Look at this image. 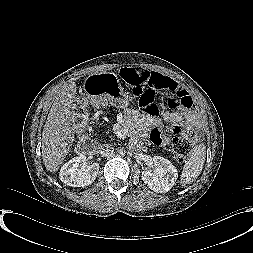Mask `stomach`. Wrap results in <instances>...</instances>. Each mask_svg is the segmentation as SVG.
Here are the masks:
<instances>
[{
    "label": "stomach",
    "mask_w": 253,
    "mask_h": 253,
    "mask_svg": "<svg viewBox=\"0 0 253 253\" xmlns=\"http://www.w3.org/2000/svg\"><path fill=\"white\" fill-rule=\"evenodd\" d=\"M83 89L88 99L96 105L111 104L118 108H125L129 104L128 93L124 92L117 76L113 73L90 75L86 78Z\"/></svg>",
    "instance_id": "obj_1"
}]
</instances>
